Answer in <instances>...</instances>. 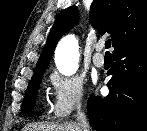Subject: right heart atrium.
Masks as SVG:
<instances>
[{"label": "right heart atrium", "mask_w": 147, "mask_h": 131, "mask_svg": "<svg viewBox=\"0 0 147 131\" xmlns=\"http://www.w3.org/2000/svg\"><path fill=\"white\" fill-rule=\"evenodd\" d=\"M49 81L53 90L52 113L57 119H66L82 109L85 94L83 79L53 71Z\"/></svg>", "instance_id": "right-heart-atrium-1"}]
</instances>
